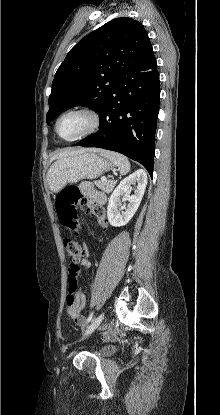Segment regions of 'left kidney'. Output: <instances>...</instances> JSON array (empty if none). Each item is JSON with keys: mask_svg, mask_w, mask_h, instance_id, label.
I'll return each mask as SVG.
<instances>
[{"mask_svg": "<svg viewBox=\"0 0 220 415\" xmlns=\"http://www.w3.org/2000/svg\"><path fill=\"white\" fill-rule=\"evenodd\" d=\"M135 183H137V188L134 191L135 194L131 195V184ZM146 185L147 174L143 169L135 171L120 182L111 194L107 207L108 221L112 226H124L131 220L141 203ZM121 196L123 202H129L127 207L125 204L121 206Z\"/></svg>", "mask_w": 220, "mask_h": 415, "instance_id": "obj_1", "label": "left kidney"}]
</instances>
